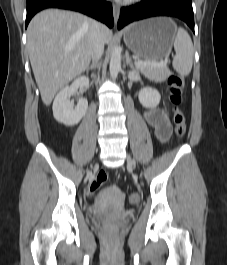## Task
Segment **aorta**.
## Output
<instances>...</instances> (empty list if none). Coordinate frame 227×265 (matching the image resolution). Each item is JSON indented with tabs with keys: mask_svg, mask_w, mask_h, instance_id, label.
<instances>
[{
	"mask_svg": "<svg viewBox=\"0 0 227 265\" xmlns=\"http://www.w3.org/2000/svg\"><path fill=\"white\" fill-rule=\"evenodd\" d=\"M121 69V52L119 47H114L111 58H110V75L115 79L118 75L119 70Z\"/></svg>",
	"mask_w": 227,
	"mask_h": 265,
	"instance_id": "1",
	"label": "aorta"
}]
</instances>
